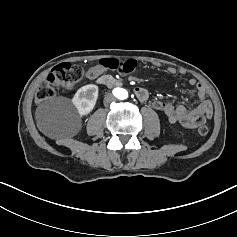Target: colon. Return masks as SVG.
Masks as SVG:
<instances>
[{
    "mask_svg": "<svg viewBox=\"0 0 237 237\" xmlns=\"http://www.w3.org/2000/svg\"><path fill=\"white\" fill-rule=\"evenodd\" d=\"M99 64L107 70L115 71L125 75L132 73L137 67V61L129 59L121 61L115 58H104ZM83 69L80 66L70 63H62L53 68L46 81L40 84L36 92V100L41 103L55 95L57 88L71 89L82 78ZM206 125L198 128V133L202 136L208 133Z\"/></svg>",
    "mask_w": 237,
    "mask_h": 237,
    "instance_id": "colon-1",
    "label": "colon"
}]
</instances>
